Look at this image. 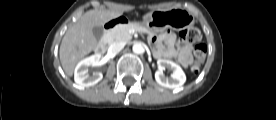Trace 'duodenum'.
Returning a JSON list of instances; mask_svg holds the SVG:
<instances>
[{
    "instance_id": "410a0bca",
    "label": "duodenum",
    "mask_w": 276,
    "mask_h": 120,
    "mask_svg": "<svg viewBox=\"0 0 276 120\" xmlns=\"http://www.w3.org/2000/svg\"><path fill=\"white\" fill-rule=\"evenodd\" d=\"M127 21L128 20H126L125 18L120 17V18L111 20V21H109L108 23L105 24V27H104L105 28V30H104L105 31V37L98 44V46L96 48L97 53H99V54L105 53L106 48H107V36H108L109 32L118 25L126 24Z\"/></svg>"
}]
</instances>
